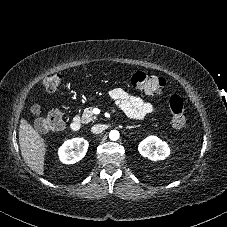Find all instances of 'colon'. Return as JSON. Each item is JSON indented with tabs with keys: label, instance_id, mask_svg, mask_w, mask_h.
<instances>
[{
	"label": "colon",
	"instance_id": "1",
	"mask_svg": "<svg viewBox=\"0 0 227 227\" xmlns=\"http://www.w3.org/2000/svg\"><path fill=\"white\" fill-rule=\"evenodd\" d=\"M132 86L147 94H159L165 86L164 78L145 72H134L130 75ZM62 83V75L54 73L45 78L43 84L49 93L58 91ZM169 108L171 111V124L176 129L185 127L187 118L182 99L178 95H173L169 99ZM64 120L59 109H53L48 114L36 121V129L39 132H56L63 128Z\"/></svg>",
	"mask_w": 227,
	"mask_h": 227
}]
</instances>
